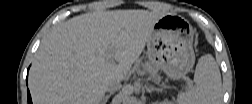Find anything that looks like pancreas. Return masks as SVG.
<instances>
[{
	"label": "pancreas",
	"instance_id": "pancreas-1",
	"mask_svg": "<svg viewBox=\"0 0 252 104\" xmlns=\"http://www.w3.org/2000/svg\"><path fill=\"white\" fill-rule=\"evenodd\" d=\"M145 68L149 70L150 73L155 74L156 73V69L154 66L152 65H145Z\"/></svg>",
	"mask_w": 252,
	"mask_h": 104
}]
</instances>
